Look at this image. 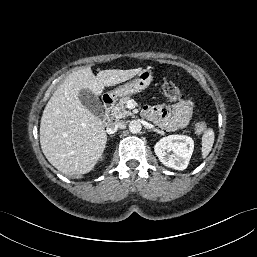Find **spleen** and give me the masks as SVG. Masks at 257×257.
<instances>
[{
    "mask_svg": "<svg viewBox=\"0 0 257 257\" xmlns=\"http://www.w3.org/2000/svg\"><path fill=\"white\" fill-rule=\"evenodd\" d=\"M215 135L213 129L209 128L205 130L204 134L202 135V157L206 158L210 153L213 143H214Z\"/></svg>",
    "mask_w": 257,
    "mask_h": 257,
    "instance_id": "obj_1",
    "label": "spleen"
}]
</instances>
